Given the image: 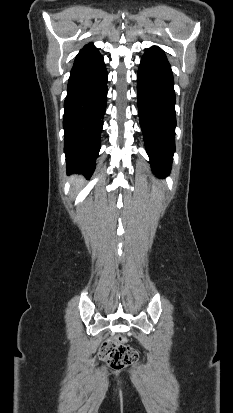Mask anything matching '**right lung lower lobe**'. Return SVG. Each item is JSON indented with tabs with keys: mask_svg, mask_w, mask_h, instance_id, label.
<instances>
[{
	"mask_svg": "<svg viewBox=\"0 0 233 413\" xmlns=\"http://www.w3.org/2000/svg\"><path fill=\"white\" fill-rule=\"evenodd\" d=\"M107 99L104 59L92 44L75 58L64 102V152L69 172L87 178L95 169Z\"/></svg>",
	"mask_w": 233,
	"mask_h": 413,
	"instance_id": "98d812e1",
	"label": "right lung lower lobe"
}]
</instances>
